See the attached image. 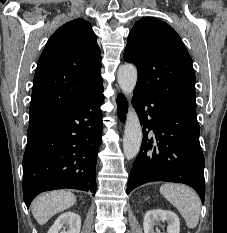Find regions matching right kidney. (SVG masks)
I'll return each mask as SVG.
<instances>
[{"mask_svg":"<svg viewBox=\"0 0 227 233\" xmlns=\"http://www.w3.org/2000/svg\"><path fill=\"white\" fill-rule=\"evenodd\" d=\"M80 228V216L74 212H65L57 218L48 233H80Z\"/></svg>","mask_w":227,"mask_h":233,"instance_id":"1","label":"right kidney"}]
</instances>
